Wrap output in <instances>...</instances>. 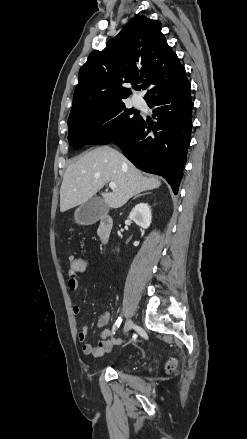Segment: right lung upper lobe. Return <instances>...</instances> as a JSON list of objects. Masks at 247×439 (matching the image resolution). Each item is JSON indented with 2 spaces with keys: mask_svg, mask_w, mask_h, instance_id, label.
<instances>
[{
  "mask_svg": "<svg viewBox=\"0 0 247 439\" xmlns=\"http://www.w3.org/2000/svg\"><path fill=\"white\" fill-rule=\"evenodd\" d=\"M106 45L102 51H93L81 67L69 117L121 102L131 93L128 84L148 86L144 97L148 101L188 83L185 68L155 20L133 18Z\"/></svg>",
  "mask_w": 247,
  "mask_h": 439,
  "instance_id": "cb5924a9",
  "label": "right lung upper lobe"
}]
</instances>
